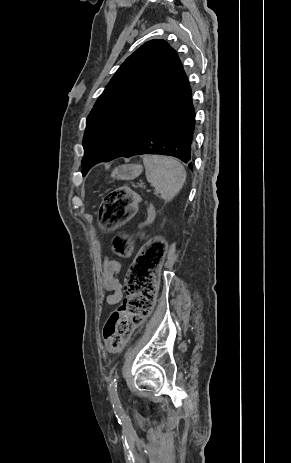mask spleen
I'll return each instance as SVG.
<instances>
[{
    "label": "spleen",
    "mask_w": 291,
    "mask_h": 463,
    "mask_svg": "<svg viewBox=\"0 0 291 463\" xmlns=\"http://www.w3.org/2000/svg\"><path fill=\"white\" fill-rule=\"evenodd\" d=\"M146 178L166 202L171 201L183 188L186 172L177 160L159 155L143 157Z\"/></svg>",
    "instance_id": "1"
}]
</instances>
